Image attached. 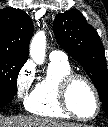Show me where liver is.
<instances>
[{
	"label": "liver",
	"instance_id": "6515ba94",
	"mask_svg": "<svg viewBox=\"0 0 108 127\" xmlns=\"http://www.w3.org/2000/svg\"><path fill=\"white\" fill-rule=\"evenodd\" d=\"M0 127H87L79 124H69L52 118L36 116L0 117Z\"/></svg>",
	"mask_w": 108,
	"mask_h": 127
}]
</instances>
